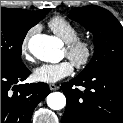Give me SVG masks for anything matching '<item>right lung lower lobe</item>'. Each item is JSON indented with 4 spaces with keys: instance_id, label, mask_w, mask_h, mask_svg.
Wrapping results in <instances>:
<instances>
[{
    "instance_id": "right-lung-lower-lobe-1",
    "label": "right lung lower lobe",
    "mask_w": 123,
    "mask_h": 123,
    "mask_svg": "<svg viewBox=\"0 0 123 123\" xmlns=\"http://www.w3.org/2000/svg\"><path fill=\"white\" fill-rule=\"evenodd\" d=\"M29 74L27 67L1 69V123H30L33 110L50 93L46 83L18 85Z\"/></svg>"
}]
</instances>
